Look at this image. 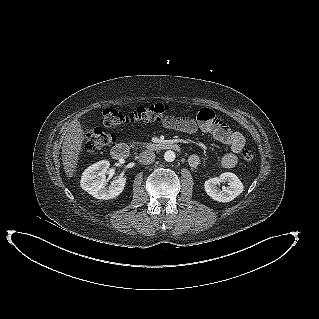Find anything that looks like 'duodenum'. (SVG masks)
<instances>
[{
	"instance_id": "1",
	"label": "duodenum",
	"mask_w": 319,
	"mask_h": 319,
	"mask_svg": "<svg viewBox=\"0 0 319 319\" xmlns=\"http://www.w3.org/2000/svg\"><path fill=\"white\" fill-rule=\"evenodd\" d=\"M150 151H161V150H173L179 151L180 147L178 144L171 141H162L157 143H151L147 146ZM129 153V146L125 143H119L112 147L111 156L115 160H121L127 157Z\"/></svg>"
}]
</instances>
